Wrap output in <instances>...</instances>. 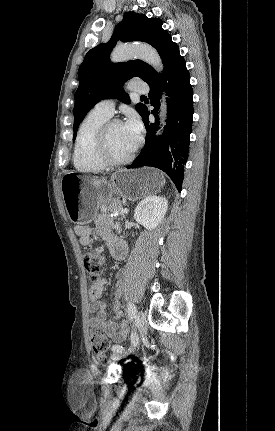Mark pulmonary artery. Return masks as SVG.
<instances>
[{"label": "pulmonary artery", "mask_w": 275, "mask_h": 431, "mask_svg": "<svg viewBox=\"0 0 275 431\" xmlns=\"http://www.w3.org/2000/svg\"><path fill=\"white\" fill-rule=\"evenodd\" d=\"M130 89L134 92L141 93V94L147 93L149 90L148 85L140 81L132 82L130 85ZM114 107H115V102L113 99H104L98 102L95 105L94 109L110 117L114 113Z\"/></svg>", "instance_id": "e3ab8cb5"}]
</instances>
